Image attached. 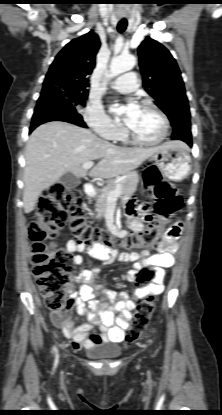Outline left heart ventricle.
<instances>
[{"label":"left heart ventricle","instance_id":"1","mask_svg":"<svg viewBox=\"0 0 222 415\" xmlns=\"http://www.w3.org/2000/svg\"><path fill=\"white\" fill-rule=\"evenodd\" d=\"M124 123L139 138L148 141L159 138L163 131V122L159 115L154 110L145 107H140L132 118H125Z\"/></svg>","mask_w":222,"mask_h":415}]
</instances>
